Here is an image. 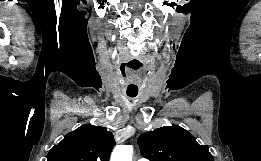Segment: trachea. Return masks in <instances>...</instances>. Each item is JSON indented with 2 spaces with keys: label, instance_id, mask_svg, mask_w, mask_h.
Here are the masks:
<instances>
[{
  "label": "trachea",
  "instance_id": "1",
  "mask_svg": "<svg viewBox=\"0 0 261 161\" xmlns=\"http://www.w3.org/2000/svg\"><path fill=\"white\" fill-rule=\"evenodd\" d=\"M129 97H135V95H128Z\"/></svg>",
  "mask_w": 261,
  "mask_h": 161
}]
</instances>
